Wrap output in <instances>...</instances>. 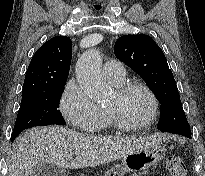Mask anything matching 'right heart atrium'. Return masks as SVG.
<instances>
[{"label": "right heart atrium", "mask_w": 205, "mask_h": 176, "mask_svg": "<svg viewBox=\"0 0 205 176\" xmlns=\"http://www.w3.org/2000/svg\"><path fill=\"white\" fill-rule=\"evenodd\" d=\"M59 109L75 128L88 131L98 125L101 109L88 97L75 80H70L60 97Z\"/></svg>", "instance_id": "d8ad5b80"}]
</instances>
